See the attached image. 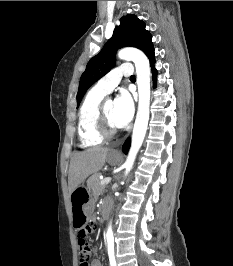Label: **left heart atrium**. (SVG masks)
<instances>
[{
    "mask_svg": "<svg viewBox=\"0 0 233 266\" xmlns=\"http://www.w3.org/2000/svg\"><path fill=\"white\" fill-rule=\"evenodd\" d=\"M134 114V103L127 91H122L114 100V123L116 127L128 125Z\"/></svg>",
    "mask_w": 233,
    "mask_h": 266,
    "instance_id": "left-heart-atrium-1",
    "label": "left heart atrium"
}]
</instances>
